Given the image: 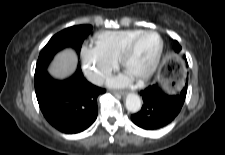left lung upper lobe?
Returning <instances> with one entry per match:
<instances>
[{"mask_svg":"<svg viewBox=\"0 0 225 155\" xmlns=\"http://www.w3.org/2000/svg\"><path fill=\"white\" fill-rule=\"evenodd\" d=\"M175 50H176V52H179L181 50V47L177 41H175Z\"/></svg>","mask_w":225,"mask_h":155,"instance_id":"obj_1","label":"left lung upper lobe"}]
</instances>
